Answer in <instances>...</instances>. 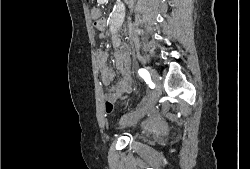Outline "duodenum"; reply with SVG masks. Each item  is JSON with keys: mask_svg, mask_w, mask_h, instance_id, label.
Here are the masks:
<instances>
[{"mask_svg": "<svg viewBox=\"0 0 250 169\" xmlns=\"http://www.w3.org/2000/svg\"><path fill=\"white\" fill-rule=\"evenodd\" d=\"M113 39L116 40V39H117V36H116V35H113Z\"/></svg>", "mask_w": 250, "mask_h": 169, "instance_id": "duodenum-1", "label": "duodenum"}]
</instances>
